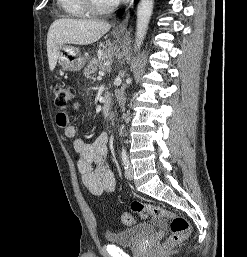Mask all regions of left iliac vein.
Segmentation results:
<instances>
[{
	"instance_id": "1",
	"label": "left iliac vein",
	"mask_w": 247,
	"mask_h": 257,
	"mask_svg": "<svg viewBox=\"0 0 247 257\" xmlns=\"http://www.w3.org/2000/svg\"><path fill=\"white\" fill-rule=\"evenodd\" d=\"M125 177L128 180L133 179V166L131 164H129L128 168L125 170Z\"/></svg>"
}]
</instances>
